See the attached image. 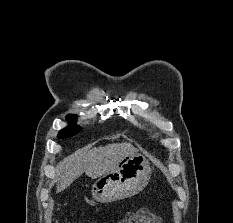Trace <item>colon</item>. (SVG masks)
I'll return each instance as SVG.
<instances>
[{"label":"colon","mask_w":233,"mask_h":223,"mask_svg":"<svg viewBox=\"0 0 233 223\" xmlns=\"http://www.w3.org/2000/svg\"><path fill=\"white\" fill-rule=\"evenodd\" d=\"M122 223H155V221L150 219L148 213H139L129 216Z\"/></svg>","instance_id":"colon-1"}]
</instances>
